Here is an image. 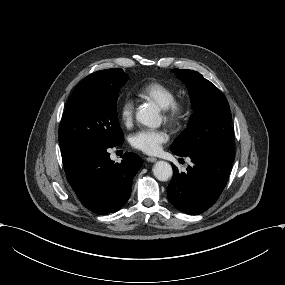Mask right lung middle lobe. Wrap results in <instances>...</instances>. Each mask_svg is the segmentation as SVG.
<instances>
[{"label": "right lung middle lobe", "mask_w": 285, "mask_h": 285, "mask_svg": "<svg viewBox=\"0 0 285 285\" xmlns=\"http://www.w3.org/2000/svg\"><path fill=\"white\" fill-rule=\"evenodd\" d=\"M128 80L121 68L95 72L80 81L59 126L61 154L86 147H115L124 142L116 104Z\"/></svg>", "instance_id": "obj_1"}]
</instances>
